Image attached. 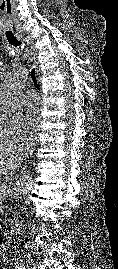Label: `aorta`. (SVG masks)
Masks as SVG:
<instances>
[{
    "label": "aorta",
    "mask_w": 118,
    "mask_h": 269,
    "mask_svg": "<svg viewBox=\"0 0 118 269\" xmlns=\"http://www.w3.org/2000/svg\"><path fill=\"white\" fill-rule=\"evenodd\" d=\"M27 77V71L20 68L7 78L0 91V113L12 114L16 111ZM32 184L33 180L30 174L24 173L13 188V196L16 199L24 198L30 191Z\"/></svg>",
    "instance_id": "762f6f07"
}]
</instances>
